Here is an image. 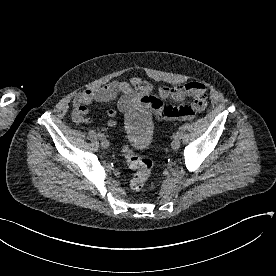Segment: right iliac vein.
<instances>
[{"label":"right iliac vein","mask_w":276,"mask_h":276,"mask_svg":"<svg viewBox=\"0 0 276 276\" xmlns=\"http://www.w3.org/2000/svg\"><path fill=\"white\" fill-rule=\"evenodd\" d=\"M101 140H102L101 141V147L104 148V149L108 148V146H109L108 140L106 138L101 139Z\"/></svg>","instance_id":"1"}]
</instances>
